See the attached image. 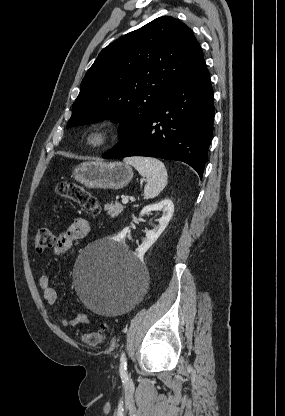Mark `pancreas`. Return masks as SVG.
Returning <instances> with one entry per match:
<instances>
[{
	"label": "pancreas",
	"instance_id": "pancreas-1",
	"mask_svg": "<svg viewBox=\"0 0 285 416\" xmlns=\"http://www.w3.org/2000/svg\"><path fill=\"white\" fill-rule=\"evenodd\" d=\"M104 210H105V212H107V214H108V216H110V218H116V216H119V214H121V212H123L124 206H121V204H119V202H115V204H113V202H111V204H105Z\"/></svg>",
	"mask_w": 285,
	"mask_h": 416
}]
</instances>
